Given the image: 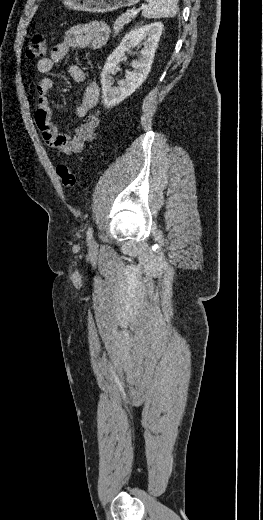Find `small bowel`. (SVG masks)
<instances>
[{
    "instance_id": "obj_1",
    "label": "small bowel",
    "mask_w": 263,
    "mask_h": 520,
    "mask_svg": "<svg viewBox=\"0 0 263 520\" xmlns=\"http://www.w3.org/2000/svg\"><path fill=\"white\" fill-rule=\"evenodd\" d=\"M108 35L109 28L102 22L74 25L65 32L62 42L53 46L50 57L42 58L36 64L37 72L42 76L36 85L35 122L45 142L66 155L80 152L85 144L93 141L96 137L100 118L90 111L97 104L99 86L95 81L86 84L75 110L76 116L82 118L83 123L76 128L74 133H63L52 122V110L48 94L53 86V81L46 74L74 49L98 50L105 44ZM69 74L77 83L86 81L84 71L76 64L69 67Z\"/></svg>"
}]
</instances>
